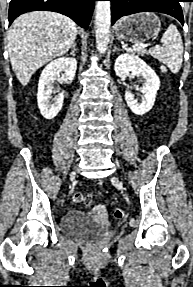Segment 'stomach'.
Listing matches in <instances>:
<instances>
[{
  "instance_id": "obj_1",
  "label": "stomach",
  "mask_w": 193,
  "mask_h": 287,
  "mask_svg": "<svg viewBox=\"0 0 193 287\" xmlns=\"http://www.w3.org/2000/svg\"><path fill=\"white\" fill-rule=\"evenodd\" d=\"M161 29L159 18L150 12L138 13L120 20L116 34L121 39L140 44L158 35Z\"/></svg>"
}]
</instances>
